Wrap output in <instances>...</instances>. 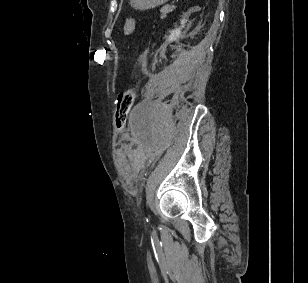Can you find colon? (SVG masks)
<instances>
[{
	"mask_svg": "<svg viewBox=\"0 0 308 283\" xmlns=\"http://www.w3.org/2000/svg\"><path fill=\"white\" fill-rule=\"evenodd\" d=\"M136 27V20L134 18H129L124 25L123 34L128 36L131 35ZM136 99V91L134 88L128 89L124 92H121L115 102V112L114 119L117 128H124L129 112L134 104Z\"/></svg>",
	"mask_w": 308,
	"mask_h": 283,
	"instance_id": "obj_1",
	"label": "colon"
}]
</instances>
